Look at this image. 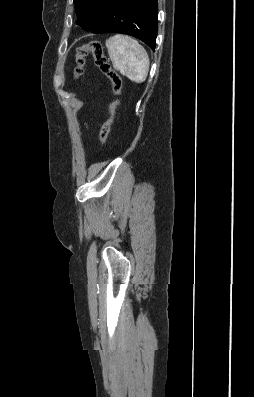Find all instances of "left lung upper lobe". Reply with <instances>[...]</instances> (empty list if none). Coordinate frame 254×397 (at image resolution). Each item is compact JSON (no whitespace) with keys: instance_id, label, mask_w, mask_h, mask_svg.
Instances as JSON below:
<instances>
[{"instance_id":"1","label":"left lung upper lobe","mask_w":254,"mask_h":397,"mask_svg":"<svg viewBox=\"0 0 254 397\" xmlns=\"http://www.w3.org/2000/svg\"><path fill=\"white\" fill-rule=\"evenodd\" d=\"M107 0H74L78 21L84 30H93L103 19Z\"/></svg>"}]
</instances>
